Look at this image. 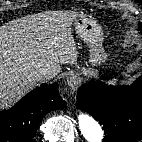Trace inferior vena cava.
<instances>
[{
	"mask_svg": "<svg viewBox=\"0 0 142 142\" xmlns=\"http://www.w3.org/2000/svg\"><path fill=\"white\" fill-rule=\"evenodd\" d=\"M35 74L39 81H44L55 77L57 73H55L51 67H42L38 69Z\"/></svg>",
	"mask_w": 142,
	"mask_h": 142,
	"instance_id": "1",
	"label": "inferior vena cava"
}]
</instances>
